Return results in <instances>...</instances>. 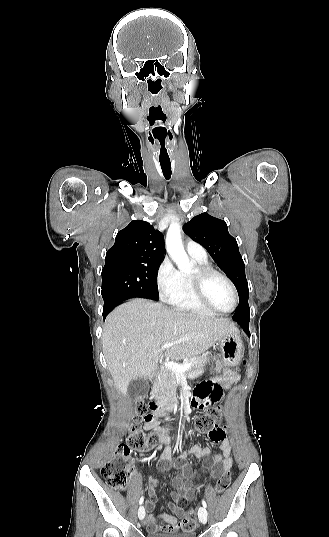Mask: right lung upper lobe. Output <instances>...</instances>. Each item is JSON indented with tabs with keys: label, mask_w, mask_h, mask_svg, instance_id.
<instances>
[{
	"label": "right lung upper lobe",
	"mask_w": 329,
	"mask_h": 537,
	"mask_svg": "<svg viewBox=\"0 0 329 537\" xmlns=\"http://www.w3.org/2000/svg\"><path fill=\"white\" fill-rule=\"evenodd\" d=\"M163 256V234L148 222L134 220L118 232L114 245L106 253L105 266L147 264L162 261Z\"/></svg>",
	"instance_id": "cb5924a9"
}]
</instances>
